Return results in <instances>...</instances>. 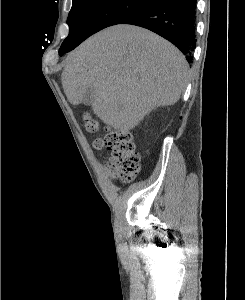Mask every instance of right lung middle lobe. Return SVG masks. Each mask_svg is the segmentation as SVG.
<instances>
[{
	"instance_id": "obj_1",
	"label": "right lung middle lobe",
	"mask_w": 245,
	"mask_h": 300,
	"mask_svg": "<svg viewBox=\"0 0 245 300\" xmlns=\"http://www.w3.org/2000/svg\"><path fill=\"white\" fill-rule=\"evenodd\" d=\"M154 0H73L67 24L69 35L59 49L62 56L92 34L120 24L149 6Z\"/></svg>"
}]
</instances>
